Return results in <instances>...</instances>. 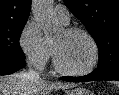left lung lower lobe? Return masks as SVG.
I'll use <instances>...</instances> for the list:
<instances>
[{"label":"left lung lower lobe","instance_id":"1","mask_svg":"<svg viewBox=\"0 0 119 95\" xmlns=\"http://www.w3.org/2000/svg\"><path fill=\"white\" fill-rule=\"evenodd\" d=\"M62 80L70 81V82H86V81H94V80H117L119 81V69H116L108 74H101L96 71L92 73L82 76V77H61Z\"/></svg>","mask_w":119,"mask_h":95}]
</instances>
